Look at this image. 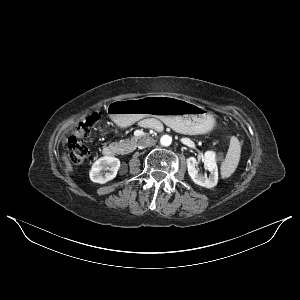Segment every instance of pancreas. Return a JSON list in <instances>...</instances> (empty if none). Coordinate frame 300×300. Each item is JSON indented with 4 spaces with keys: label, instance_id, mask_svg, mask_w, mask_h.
I'll return each instance as SVG.
<instances>
[{
    "label": "pancreas",
    "instance_id": "1",
    "mask_svg": "<svg viewBox=\"0 0 300 300\" xmlns=\"http://www.w3.org/2000/svg\"><path fill=\"white\" fill-rule=\"evenodd\" d=\"M137 140L138 137H132L131 139L120 140L115 145L119 148L121 154H127L134 149Z\"/></svg>",
    "mask_w": 300,
    "mask_h": 300
}]
</instances>
